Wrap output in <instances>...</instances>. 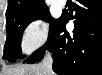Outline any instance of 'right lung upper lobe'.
Listing matches in <instances>:
<instances>
[{"instance_id": "cb5924a9", "label": "right lung upper lobe", "mask_w": 102, "mask_h": 75, "mask_svg": "<svg viewBox=\"0 0 102 75\" xmlns=\"http://www.w3.org/2000/svg\"><path fill=\"white\" fill-rule=\"evenodd\" d=\"M45 6L44 0H8L6 16Z\"/></svg>"}]
</instances>
